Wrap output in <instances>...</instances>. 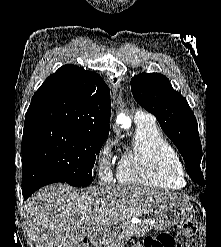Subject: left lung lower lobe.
<instances>
[{
	"label": "left lung lower lobe",
	"instance_id": "1",
	"mask_svg": "<svg viewBox=\"0 0 221 247\" xmlns=\"http://www.w3.org/2000/svg\"><path fill=\"white\" fill-rule=\"evenodd\" d=\"M200 200H201L202 204L205 206L206 201H207V194L200 195Z\"/></svg>",
	"mask_w": 221,
	"mask_h": 247
}]
</instances>
